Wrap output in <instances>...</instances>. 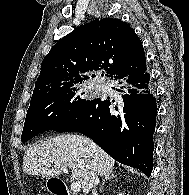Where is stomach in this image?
Wrapping results in <instances>:
<instances>
[{"instance_id":"1","label":"stomach","mask_w":189,"mask_h":195,"mask_svg":"<svg viewBox=\"0 0 189 195\" xmlns=\"http://www.w3.org/2000/svg\"><path fill=\"white\" fill-rule=\"evenodd\" d=\"M46 187H47V189H50V178L46 182Z\"/></svg>"}]
</instances>
